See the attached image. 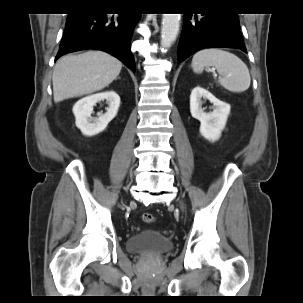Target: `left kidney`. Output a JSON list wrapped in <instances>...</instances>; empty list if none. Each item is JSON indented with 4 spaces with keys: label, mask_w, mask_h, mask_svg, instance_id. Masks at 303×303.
Segmentation results:
<instances>
[{
    "label": "left kidney",
    "mask_w": 303,
    "mask_h": 303,
    "mask_svg": "<svg viewBox=\"0 0 303 303\" xmlns=\"http://www.w3.org/2000/svg\"><path fill=\"white\" fill-rule=\"evenodd\" d=\"M202 98L208 99L213 104V111L206 113L201 108ZM190 112L193 118L200 121V133L209 141H216L220 138L224 129L230 105L217 99L206 89L197 86L190 95Z\"/></svg>",
    "instance_id": "left-kidney-1"
}]
</instances>
